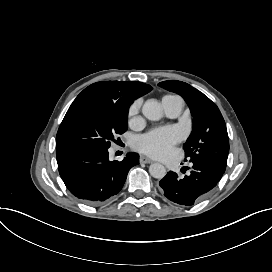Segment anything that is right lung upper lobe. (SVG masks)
<instances>
[{
	"instance_id": "obj_1",
	"label": "right lung upper lobe",
	"mask_w": 272,
	"mask_h": 272,
	"mask_svg": "<svg viewBox=\"0 0 272 272\" xmlns=\"http://www.w3.org/2000/svg\"><path fill=\"white\" fill-rule=\"evenodd\" d=\"M152 90L148 84L137 81H102L85 88L74 100L69 109L84 102L111 104L128 109L130 104Z\"/></svg>"
}]
</instances>
